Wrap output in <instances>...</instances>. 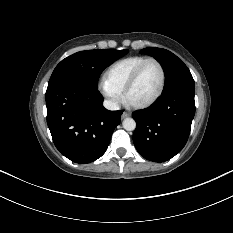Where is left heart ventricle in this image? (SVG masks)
Masks as SVG:
<instances>
[{
	"mask_svg": "<svg viewBox=\"0 0 233 233\" xmlns=\"http://www.w3.org/2000/svg\"><path fill=\"white\" fill-rule=\"evenodd\" d=\"M161 71L157 64L150 63L130 90L128 100L132 104H141L150 100L159 90Z\"/></svg>",
	"mask_w": 233,
	"mask_h": 233,
	"instance_id": "obj_1",
	"label": "left heart ventricle"
}]
</instances>
